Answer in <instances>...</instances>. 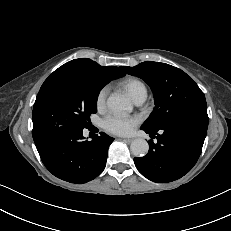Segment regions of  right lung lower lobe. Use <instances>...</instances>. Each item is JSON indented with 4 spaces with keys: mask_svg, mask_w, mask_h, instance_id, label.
I'll use <instances>...</instances> for the list:
<instances>
[{
    "mask_svg": "<svg viewBox=\"0 0 231 231\" xmlns=\"http://www.w3.org/2000/svg\"><path fill=\"white\" fill-rule=\"evenodd\" d=\"M114 138L101 132L93 140L83 137V130L64 134L52 140H34L46 168L56 177L82 184L93 180L104 170L107 151Z\"/></svg>",
    "mask_w": 231,
    "mask_h": 231,
    "instance_id": "98d812e1",
    "label": "right lung lower lobe"
}]
</instances>
